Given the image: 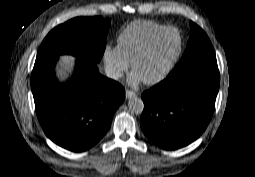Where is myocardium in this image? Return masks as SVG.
<instances>
[{
	"label": "myocardium",
	"instance_id": "1",
	"mask_svg": "<svg viewBox=\"0 0 255 177\" xmlns=\"http://www.w3.org/2000/svg\"><path fill=\"white\" fill-rule=\"evenodd\" d=\"M169 31H175V32H177V34L179 36V48H178V51L171 58V60L168 62L166 67L162 70V72L159 75H157L155 78L150 79V80H143V82L145 84H148V85L158 84L161 81H163L169 75V73L171 72V70L173 69V67L175 66V64L177 63L178 59L180 58V56H181V54L183 52L184 40H183V36H182L181 32L176 27L168 26V27H165V28L157 31L156 33L152 34L150 36V38L147 40V42L143 45V47L136 54V56L134 57L133 61L131 62V69L134 71L135 65L141 59H143L147 55V53L149 52V50L152 47V45L154 44V42L160 36H162L163 34L169 32Z\"/></svg>",
	"mask_w": 255,
	"mask_h": 177
}]
</instances>
